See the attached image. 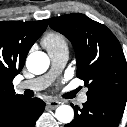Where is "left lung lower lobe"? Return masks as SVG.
Masks as SVG:
<instances>
[{
	"label": "left lung lower lobe",
	"mask_w": 127,
	"mask_h": 127,
	"mask_svg": "<svg viewBox=\"0 0 127 127\" xmlns=\"http://www.w3.org/2000/svg\"><path fill=\"white\" fill-rule=\"evenodd\" d=\"M75 119L65 127H118L125 106L100 100H87L80 109L72 105Z\"/></svg>",
	"instance_id": "left-lung-lower-lobe-1"
}]
</instances>
